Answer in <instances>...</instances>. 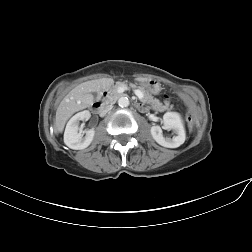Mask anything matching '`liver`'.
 <instances>
[{
    "label": "liver",
    "instance_id": "liver-1",
    "mask_svg": "<svg viewBox=\"0 0 252 252\" xmlns=\"http://www.w3.org/2000/svg\"><path fill=\"white\" fill-rule=\"evenodd\" d=\"M113 83L114 80L111 78H102L84 82L72 89L57 108L54 122L56 133L62 130L65 122L74 112L87 107L93 102L92 92L107 90Z\"/></svg>",
    "mask_w": 252,
    "mask_h": 252
}]
</instances>
